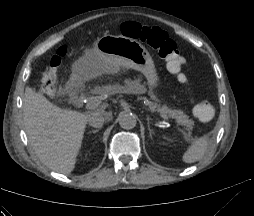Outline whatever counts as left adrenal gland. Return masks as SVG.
<instances>
[{
  "instance_id": "left-adrenal-gland-1",
  "label": "left adrenal gland",
  "mask_w": 254,
  "mask_h": 216,
  "mask_svg": "<svg viewBox=\"0 0 254 216\" xmlns=\"http://www.w3.org/2000/svg\"><path fill=\"white\" fill-rule=\"evenodd\" d=\"M150 118L147 117V125H148V131H149V134H150V137H152V130L150 128V122H149Z\"/></svg>"
}]
</instances>
